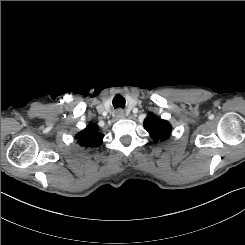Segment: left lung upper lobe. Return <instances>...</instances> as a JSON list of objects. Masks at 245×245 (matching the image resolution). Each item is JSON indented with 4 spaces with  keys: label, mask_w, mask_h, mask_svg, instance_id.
I'll use <instances>...</instances> for the list:
<instances>
[{
    "label": "left lung upper lobe",
    "mask_w": 245,
    "mask_h": 245,
    "mask_svg": "<svg viewBox=\"0 0 245 245\" xmlns=\"http://www.w3.org/2000/svg\"><path fill=\"white\" fill-rule=\"evenodd\" d=\"M144 128L149 132L152 139L158 142L164 141L170 136L172 126L168 121L149 113L144 120Z\"/></svg>",
    "instance_id": "obj_1"
}]
</instances>
